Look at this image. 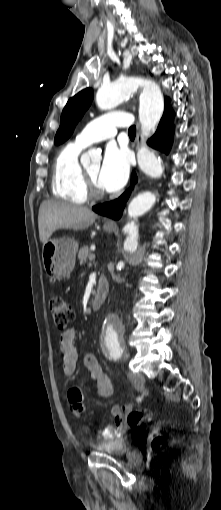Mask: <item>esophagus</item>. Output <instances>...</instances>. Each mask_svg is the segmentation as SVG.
Listing matches in <instances>:
<instances>
[{
	"label": "esophagus",
	"mask_w": 221,
	"mask_h": 510,
	"mask_svg": "<svg viewBox=\"0 0 221 510\" xmlns=\"http://www.w3.org/2000/svg\"><path fill=\"white\" fill-rule=\"evenodd\" d=\"M106 223L110 224V225H116V223L114 221L110 220V219H107Z\"/></svg>",
	"instance_id": "34e87169"
}]
</instances>
